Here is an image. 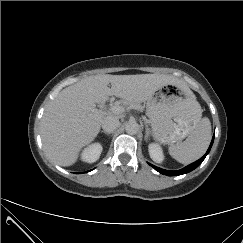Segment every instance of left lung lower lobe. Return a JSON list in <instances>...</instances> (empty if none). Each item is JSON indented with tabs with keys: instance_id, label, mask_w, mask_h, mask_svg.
Here are the masks:
<instances>
[{
	"instance_id": "1",
	"label": "left lung lower lobe",
	"mask_w": 243,
	"mask_h": 243,
	"mask_svg": "<svg viewBox=\"0 0 243 243\" xmlns=\"http://www.w3.org/2000/svg\"><path fill=\"white\" fill-rule=\"evenodd\" d=\"M213 141H214V136L212 138V141H211V144L206 152V154L201 157L199 160L195 161L194 163L192 164H189L188 166L184 167L183 169L181 170H178V171H169V170H164V169H161L159 167H156L150 163H148L150 166H152L156 171H158L159 173L161 174H164V175H168V176H176V175H182V174H186L188 172H191L192 170H194L195 168H197L202 162L203 160L205 159V157L208 155L211 147H212V144H213Z\"/></svg>"
}]
</instances>
